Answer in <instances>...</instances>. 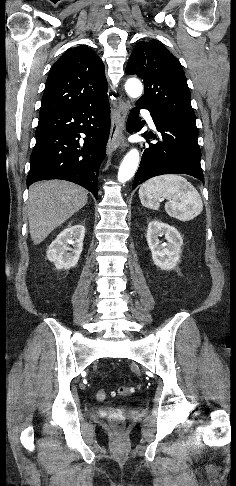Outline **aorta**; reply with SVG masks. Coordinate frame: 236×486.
<instances>
[{
	"mask_svg": "<svg viewBox=\"0 0 236 486\" xmlns=\"http://www.w3.org/2000/svg\"><path fill=\"white\" fill-rule=\"evenodd\" d=\"M127 94L132 98H138L142 94V84L136 78H130L125 84ZM139 152L137 149H131L124 157L118 171V181L125 183L130 180L139 164Z\"/></svg>",
	"mask_w": 236,
	"mask_h": 486,
	"instance_id": "762f6f07",
	"label": "aorta"
}]
</instances>
